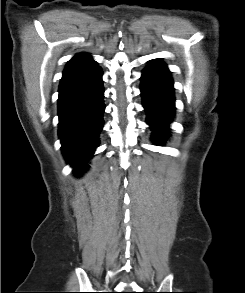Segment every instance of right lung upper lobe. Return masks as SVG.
Instances as JSON below:
<instances>
[{
    "label": "right lung upper lobe",
    "mask_w": 245,
    "mask_h": 293,
    "mask_svg": "<svg viewBox=\"0 0 245 293\" xmlns=\"http://www.w3.org/2000/svg\"><path fill=\"white\" fill-rule=\"evenodd\" d=\"M96 67H98L96 61H94L89 54H77L68 62L63 71L60 86L89 73Z\"/></svg>",
    "instance_id": "1"
}]
</instances>
